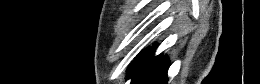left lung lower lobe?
I'll return each mask as SVG.
<instances>
[{
  "label": "left lung lower lobe",
  "mask_w": 260,
  "mask_h": 84,
  "mask_svg": "<svg viewBox=\"0 0 260 84\" xmlns=\"http://www.w3.org/2000/svg\"><path fill=\"white\" fill-rule=\"evenodd\" d=\"M152 55V49L145 50L130 65L128 77L132 78L131 84H166L168 60Z\"/></svg>",
  "instance_id": "left-lung-lower-lobe-1"
}]
</instances>
